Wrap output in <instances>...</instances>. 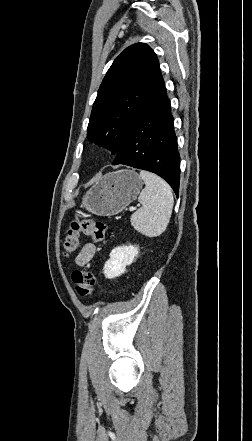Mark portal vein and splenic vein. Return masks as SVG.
Masks as SVG:
<instances>
[{"label":"portal vein and splenic vein","mask_w":252,"mask_h":441,"mask_svg":"<svg viewBox=\"0 0 252 441\" xmlns=\"http://www.w3.org/2000/svg\"><path fill=\"white\" fill-rule=\"evenodd\" d=\"M135 210V208L134 207H130V211L132 212V211H134Z\"/></svg>","instance_id":"18ae733b"}]
</instances>
